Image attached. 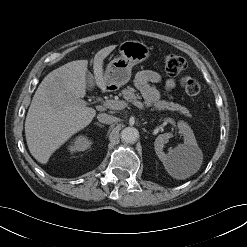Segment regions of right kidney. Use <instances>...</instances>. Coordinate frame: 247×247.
<instances>
[{
    "label": "right kidney",
    "instance_id": "1",
    "mask_svg": "<svg viewBox=\"0 0 247 247\" xmlns=\"http://www.w3.org/2000/svg\"><path fill=\"white\" fill-rule=\"evenodd\" d=\"M91 144L92 141L87 136L78 135L71 141V144L68 146V149L71 153L77 151H85L91 146Z\"/></svg>",
    "mask_w": 247,
    "mask_h": 247
}]
</instances>
